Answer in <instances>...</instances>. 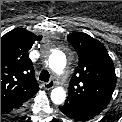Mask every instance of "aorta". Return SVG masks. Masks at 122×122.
Segmentation results:
<instances>
[{"label": "aorta", "mask_w": 122, "mask_h": 122, "mask_svg": "<svg viewBox=\"0 0 122 122\" xmlns=\"http://www.w3.org/2000/svg\"><path fill=\"white\" fill-rule=\"evenodd\" d=\"M49 67L56 74H61L66 67V56L61 51H55L49 56ZM66 99V91L62 87H56L51 92V100L54 104H62Z\"/></svg>", "instance_id": "aorta-1"}]
</instances>
